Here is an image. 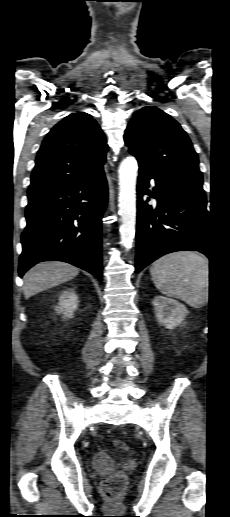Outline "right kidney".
Segmentation results:
<instances>
[{
  "instance_id": "ca27d5eb",
  "label": "right kidney",
  "mask_w": 230,
  "mask_h": 517,
  "mask_svg": "<svg viewBox=\"0 0 230 517\" xmlns=\"http://www.w3.org/2000/svg\"><path fill=\"white\" fill-rule=\"evenodd\" d=\"M78 297L74 289L63 291L59 296V303L56 307L58 313H63L64 317L71 318L77 309Z\"/></svg>"
}]
</instances>
